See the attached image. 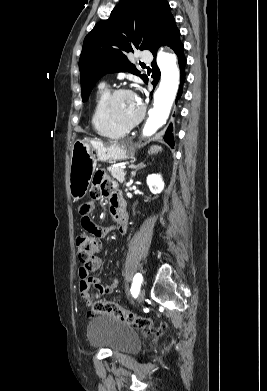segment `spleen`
<instances>
[{"mask_svg":"<svg viewBox=\"0 0 267 391\" xmlns=\"http://www.w3.org/2000/svg\"><path fill=\"white\" fill-rule=\"evenodd\" d=\"M162 148L160 146H152L149 150V154H155L158 153V151H161Z\"/></svg>","mask_w":267,"mask_h":391,"instance_id":"3e777b00","label":"spleen"}]
</instances>
